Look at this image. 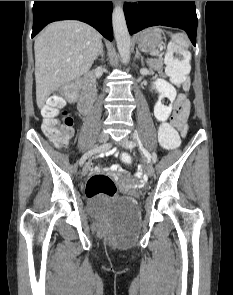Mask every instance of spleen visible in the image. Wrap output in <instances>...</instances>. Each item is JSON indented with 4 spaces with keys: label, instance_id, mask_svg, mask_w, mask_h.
I'll return each mask as SVG.
<instances>
[{
    "label": "spleen",
    "instance_id": "obj_1",
    "mask_svg": "<svg viewBox=\"0 0 233 295\" xmlns=\"http://www.w3.org/2000/svg\"><path fill=\"white\" fill-rule=\"evenodd\" d=\"M151 30L156 31V32H159V33L163 32L162 29L157 28V27H155V28H153ZM169 34L171 36V41H170L169 46H168L169 55L171 56V53H172L173 49L176 46H180L184 50V54H185V61L184 62L185 63H188L189 60H190V53L187 52V47L188 46H187V43L185 42L183 36L182 35H179V34H172V33H169ZM156 53L157 52L154 51V50L151 52L152 55H155Z\"/></svg>",
    "mask_w": 233,
    "mask_h": 295
}]
</instances>
